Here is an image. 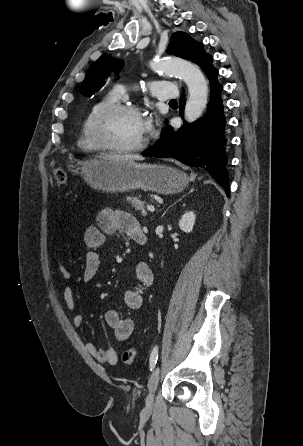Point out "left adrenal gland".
<instances>
[{"instance_id":"obj_1","label":"left adrenal gland","mask_w":303,"mask_h":446,"mask_svg":"<svg viewBox=\"0 0 303 446\" xmlns=\"http://www.w3.org/2000/svg\"><path fill=\"white\" fill-rule=\"evenodd\" d=\"M194 189H191L189 193L193 192ZM188 193V194H189ZM186 195L182 196L178 201H176L175 203H173L171 206H169L164 213L162 214V217L166 214V212L169 210V208H171L173 205H175L177 202H179L182 198H184Z\"/></svg>"}]
</instances>
